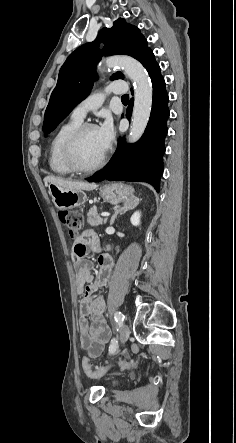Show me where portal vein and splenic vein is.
<instances>
[{"instance_id": "obj_1", "label": "portal vein and splenic vein", "mask_w": 236, "mask_h": 443, "mask_svg": "<svg viewBox=\"0 0 236 443\" xmlns=\"http://www.w3.org/2000/svg\"><path fill=\"white\" fill-rule=\"evenodd\" d=\"M101 216H103V217H108V216H110V213H108V212H103V213L101 214Z\"/></svg>"}]
</instances>
